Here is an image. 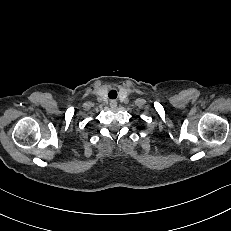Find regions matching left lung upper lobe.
Returning a JSON list of instances; mask_svg holds the SVG:
<instances>
[{
	"instance_id": "5c2ea615",
	"label": "left lung upper lobe",
	"mask_w": 231,
	"mask_h": 231,
	"mask_svg": "<svg viewBox=\"0 0 231 231\" xmlns=\"http://www.w3.org/2000/svg\"><path fill=\"white\" fill-rule=\"evenodd\" d=\"M139 129H143V127H138Z\"/></svg>"
}]
</instances>
